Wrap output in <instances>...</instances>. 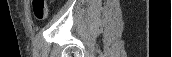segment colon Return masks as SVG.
Returning <instances> with one entry per match:
<instances>
[{"mask_svg": "<svg viewBox=\"0 0 172 57\" xmlns=\"http://www.w3.org/2000/svg\"><path fill=\"white\" fill-rule=\"evenodd\" d=\"M32 12L37 20H43L47 16L46 0H32Z\"/></svg>", "mask_w": 172, "mask_h": 57, "instance_id": "1", "label": "colon"}]
</instances>
